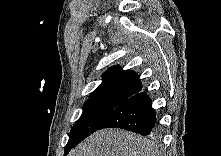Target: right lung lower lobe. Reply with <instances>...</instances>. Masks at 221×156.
<instances>
[{
  "mask_svg": "<svg viewBox=\"0 0 221 156\" xmlns=\"http://www.w3.org/2000/svg\"><path fill=\"white\" fill-rule=\"evenodd\" d=\"M157 123L150 97L145 92H139L118 105L100 129L121 128L147 136L155 133Z\"/></svg>",
  "mask_w": 221,
  "mask_h": 156,
  "instance_id": "1",
  "label": "right lung lower lobe"
}]
</instances>
